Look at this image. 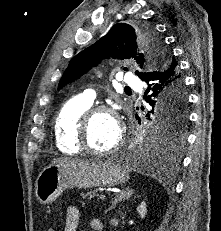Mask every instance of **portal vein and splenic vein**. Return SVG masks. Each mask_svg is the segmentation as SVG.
I'll return each mask as SVG.
<instances>
[{
	"label": "portal vein and splenic vein",
	"instance_id": "1",
	"mask_svg": "<svg viewBox=\"0 0 221 231\" xmlns=\"http://www.w3.org/2000/svg\"><path fill=\"white\" fill-rule=\"evenodd\" d=\"M98 198H99L100 200H104V199L106 198V195L100 194V195H98Z\"/></svg>",
	"mask_w": 221,
	"mask_h": 231
}]
</instances>
